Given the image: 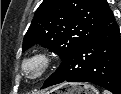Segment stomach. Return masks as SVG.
Instances as JSON below:
<instances>
[{
	"instance_id": "0dacf381",
	"label": "stomach",
	"mask_w": 121,
	"mask_h": 94,
	"mask_svg": "<svg viewBox=\"0 0 121 94\" xmlns=\"http://www.w3.org/2000/svg\"><path fill=\"white\" fill-rule=\"evenodd\" d=\"M46 94H99L98 91L89 84L64 83L47 92Z\"/></svg>"
}]
</instances>
